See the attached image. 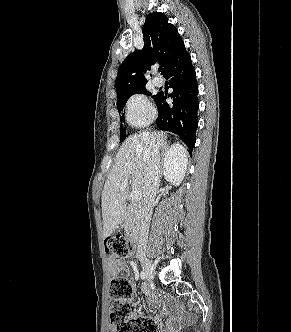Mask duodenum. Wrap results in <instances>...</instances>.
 <instances>
[{
  "mask_svg": "<svg viewBox=\"0 0 291 332\" xmlns=\"http://www.w3.org/2000/svg\"><path fill=\"white\" fill-rule=\"evenodd\" d=\"M134 243H135V245H139L140 244V235L139 234H135V236H134Z\"/></svg>",
  "mask_w": 291,
  "mask_h": 332,
  "instance_id": "1",
  "label": "duodenum"
}]
</instances>
